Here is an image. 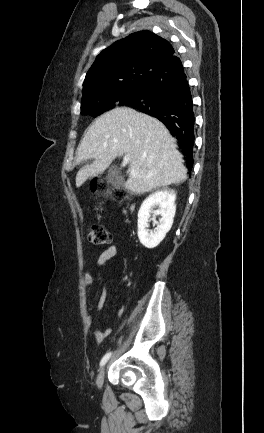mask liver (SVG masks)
<instances>
[{"mask_svg": "<svg viewBox=\"0 0 264 433\" xmlns=\"http://www.w3.org/2000/svg\"><path fill=\"white\" fill-rule=\"evenodd\" d=\"M123 155L129 156L130 168L136 171L130 174L125 188L135 194L187 178L182 155L166 127L146 114L119 107L98 117L85 133L77 148V162H94L77 172L76 186L103 173L116 157Z\"/></svg>", "mask_w": 264, "mask_h": 433, "instance_id": "6515ba94", "label": "liver"}]
</instances>
